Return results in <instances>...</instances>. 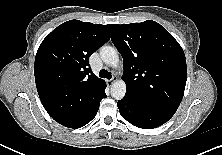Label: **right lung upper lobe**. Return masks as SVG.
<instances>
[{"label": "right lung upper lobe", "instance_id": "cb5924a9", "mask_svg": "<svg viewBox=\"0 0 222 155\" xmlns=\"http://www.w3.org/2000/svg\"><path fill=\"white\" fill-rule=\"evenodd\" d=\"M110 39L108 25L70 20L38 48L34 74L40 100L57 121L91 104L106 88L93 74L89 57Z\"/></svg>", "mask_w": 222, "mask_h": 155}]
</instances>
